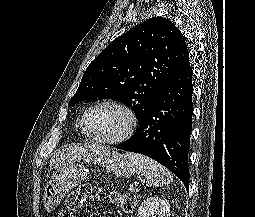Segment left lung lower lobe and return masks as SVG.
<instances>
[{"instance_id":"obj_1","label":"left lung lower lobe","mask_w":255,"mask_h":217,"mask_svg":"<svg viewBox=\"0 0 255 217\" xmlns=\"http://www.w3.org/2000/svg\"><path fill=\"white\" fill-rule=\"evenodd\" d=\"M192 76L188 56L161 85L135 134L117 147L156 160L179 177L186 188L193 114Z\"/></svg>"}]
</instances>
